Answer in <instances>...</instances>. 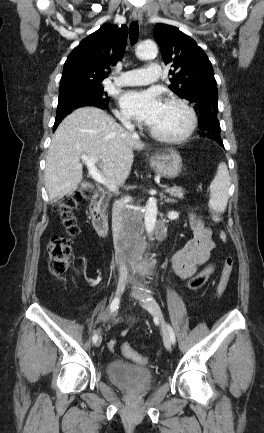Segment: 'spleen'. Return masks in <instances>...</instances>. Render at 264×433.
<instances>
[{
	"label": "spleen",
	"mask_w": 264,
	"mask_h": 433,
	"mask_svg": "<svg viewBox=\"0 0 264 433\" xmlns=\"http://www.w3.org/2000/svg\"><path fill=\"white\" fill-rule=\"evenodd\" d=\"M230 177L227 165L222 162L218 166L217 174L210 184L211 198L209 207L218 213H223L229 198Z\"/></svg>",
	"instance_id": "spleen-1"
}]
</instances>
